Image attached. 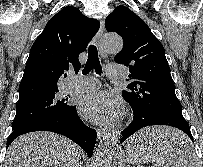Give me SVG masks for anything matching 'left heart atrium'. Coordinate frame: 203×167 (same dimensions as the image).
<instances>
[{
  "label": "left heart atrium",
  "instance_id": "1",
  "mask_svg": "<svg viewBox=\"0 0 203 167\" xmlns=\"http://www.w3.org/2000/svg\"><path fill=\"white\" fill-rule=\"evenodd\" d=\"M80 113L90 121L98 124H109L116 121L122 111L118 97L108 91H98L81 98Z\"/></svg>",
  "mask_w": 203,
  "mask_h": 167
}]
</instances>
